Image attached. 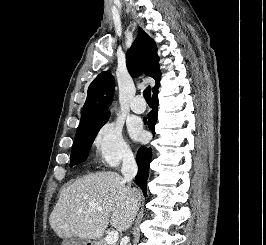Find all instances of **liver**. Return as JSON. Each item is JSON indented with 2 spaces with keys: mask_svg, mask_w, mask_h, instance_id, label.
<instances>
[{
  "mask_svg": "<svg viewBox=\"0 0 266 245\" xmlns=\"http://www.w3.org/2000/svg\"><path fill=\"white\" fill-rule=\"evenodd\" d=\"M140 203L138 189L117 173H91L62 189L49 223L60 239H101L109 223L116 231L130 229Z\"/></svg>",
  "mask_w": 266,
  "mask_h": 245,
  "instance_id": "1",
  "label": "liver"
}]
</instances>
